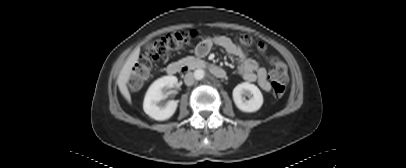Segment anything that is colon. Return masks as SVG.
Returning <instances> with one entry per match:
<instances>
[{
    "label": "colon",
    "mask_w": 406,
    "mask_h": 168,
    "mask_svg": "<svg viewBox=\"0 0 406 168\" xmlns=\"http://www.w3.org/2000/svg\"><path fill=\"white\" fill-rule=\"evenodd\" d=\"M197 35L196 31L176 32L156 40L133 66L129 79L131 86L139 87L150 76L152 69L158 62L165 59L168 55L182 50ZM239 41L246 48H250L253 45L249 35H241ZM258 48L263 49V46L259 45ZM270 77L274 95L276 97L283 96L288 84L286 66L282 62L275 60L270 71Z\"/></svg>",
    "instance_id": "colon-1"
}]
</instances>
